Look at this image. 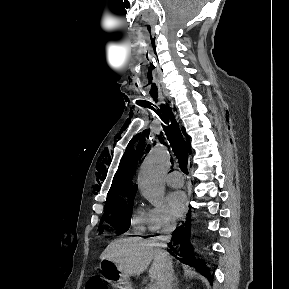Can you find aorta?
Masks as SVG:
<instances>
[{
	"label": "aorta",
	"mask_w": 289,
	"mask_h": 289,
	"mask_svg": "<svg viewBox=\"0 0 289 289\" xmlns=\"http://www.w3.org/2000/svg\"><path fill=\"white\" fill-rule=\"evenodd\" d=\"M170 154L167 147L157 143L144 159L138 175V188L141 194L154 206L164 201L163 177L168 170Z\"/></svg>",
	"instance_id": "762f6f07"
}]
</instances>
